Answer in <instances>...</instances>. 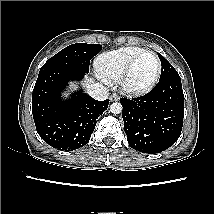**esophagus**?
I'll use <instances>...</instances> for the list:
<instances>
[{"label": "esophagus", "instance_id": "34e87169", "mask_svg": "<svg viewBox=\"0 0 214 214\" xmlns=\"http://www.w3.org/2000/svg\"><path fill=\"white\" fill-rule=\"evenodd\" d=\"M110 100H111V101H118V100H119V96L116 95V94H112V95L110 96Z\"/></svg>", "mask_w": 214, "mask_h": 214}]
</instances>
